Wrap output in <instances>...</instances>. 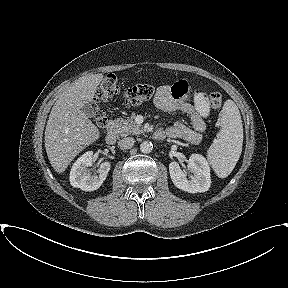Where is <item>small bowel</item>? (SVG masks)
<instances>
[{
    "label": "small bowel",
    "instance_id": "1",
    "mask_svg": "<svg viewBox=\"0 0 288 288\" xmlns=\"http://www.w3.org/2000/svg\"><path fill=\"white\" fill-rule=\"evenodd\" d=\"M190 82L187 78H178L170 84H162L158 87L153 99V105L162 111H180L189 115L192 127L181 122L163 130L170 137L182 138L193 144L202 139V133L206 130L205 120L210 114V102L205 92L196 89L189 94Z\"/></svg>",
    "mask_w": 288,
    "mask_h": 288
}]
</instances>
